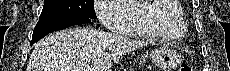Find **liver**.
<instances>
[{
  "mask_svg": "<svg viewBox=\"0 0 230 71\" xmlns=\"http://www.w3.org/2000/svg\"><path fill=\"white\" fill-rule=\"evenodd\" d=\"M148 42L88 28H69L35 44L27 71H109L113 63Z\"/></svg>",
  "mask_w": 230,
  "mask_h": 71,
  "instance_id": "6515ba94",
  "label": "liver"
}]
</instances>
